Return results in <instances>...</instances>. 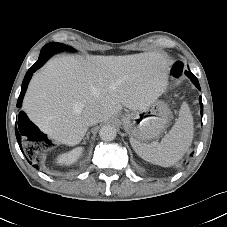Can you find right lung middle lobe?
Returning a JSON list of instances; mask_svg holds the SVG:
<instances>
[{"mask_svg": "<svg viewBox=\"0 0 227 227\" xmlns=\"http://www.w3.org/2000/svg\"><path fill=\"white\" fill-rule=\"evenodd\" d=\"M44 47H46L47 49L53 50V51L73 50V48H71V47H67L66 45H64L62 43H56V42L46 44Z\"/></svg>", "mask_w": 227, "mask_h": 227, "instance_id": "dd1d6c3e", "label": "right lung middle lobe"}]
</instances>
